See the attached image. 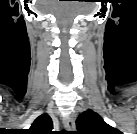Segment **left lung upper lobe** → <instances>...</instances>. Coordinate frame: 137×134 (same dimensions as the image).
<instances>
[{
	"label": "left lung upper lobe",
	"mask_w": 137,
	"mask_h": 134,
	"mask_svg": "<svg viewBox=\"0 0 137 134\" xmlns=\"http://www.w3.org/2000/svg\"><path fill=\"white\" fill-rule=\"evenodd\" d=\"M77 134H122L108 125L103 118L92 110L83 112L77 119Z\"/></svg>",
	"instance_id": "1"
}]
</instances>
